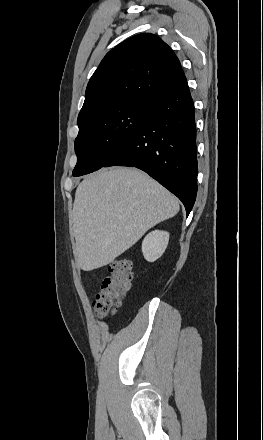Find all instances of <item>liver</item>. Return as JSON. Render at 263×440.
I'll return each instance as SVG.
<instances>
[{"mask_svg":"<svg viewBox=\"0 0 263 440\" xmlns=\"http://www.w3.org/2000/svg\"><path fill=\"white\" fill-rule=\"evenodd\" d=\"M178 211V200L138 169H103L84 179L72 211L78 267L92 271L108 265Z\"/></svg>","mask_w":263,"mask_h":440,"instance_id":"6515ba94","label":"liver"}]
</instances>
